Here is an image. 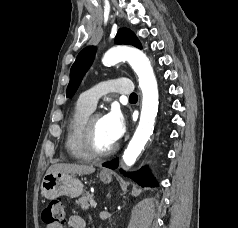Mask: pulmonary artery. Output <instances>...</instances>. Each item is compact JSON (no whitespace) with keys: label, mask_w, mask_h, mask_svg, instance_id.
Masks as SVG:
<instances>
[{"label":"pulmonary artery","mask_w":238,"mask_h":228,"mask_svg":"<svg viewBox=\"0 0 238 228\" xmlns=\"http://www.w3.org/2000/svg\"><path fill=\"white\" fill-rule=\"evenodd\" d=\"M108 92L131 95L133 93V84L127 78L109 79L82 93L79 100L93 110L99 98Z\"/></svg>","instance_id":"pulmonary-artery-1"}]
</instances>
